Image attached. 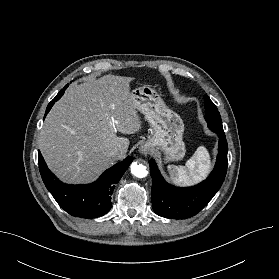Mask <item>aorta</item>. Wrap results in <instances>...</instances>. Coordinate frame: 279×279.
<instances>
[{
	"label": "aorta",
	"mask_w": 279,
	"mask_h": 279,
	"mask_svg": "<svg viewBox=\"0 0 279 279\" xmlns=\"http://www.w3.org/2000/svg\"><path fill=\"white\" fill-rule=\"evenodd\" d=\"M131 173L138 178H143L147 176L146 167L142 164H137L136 162L131 164Z\"/></svg>",
	"instance_id": "obj_1"
}]
</instances>
